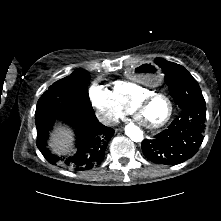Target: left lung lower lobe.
<instances>
[{
  "label": "left lung lower lobe",
  "instance_id": "1",
  "mask_svg": "<svg viewBox=\"0 0 221 221\" xmlns=\"http://www.w3.org/2000/svg\"><path fill=\"white\" fill-rule=\"evenodd\" d=\"M206 122L205 102L182 108L181 114L152 139L143 140L145 157L158 164L177 165L192 158L202 144Z\"/></svg>",
  "mask_w": 221,
  "mask_h": 221
}]
</instances>
